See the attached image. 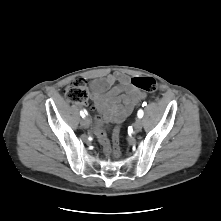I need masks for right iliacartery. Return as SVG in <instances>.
<instances>
[{
  "label": "right iliac artery",
  "instance_id": "1",
  "mask_svg": "<svg viewBox=\"0 0 221 221\" xmlns=\"http://www.w3.org/2000/svg\"><path fill=\"white\" fill-rule=\"evenodd\" d=\"M86 114H87V112L85 110L80 112V115L82 118H84L86 116Z\"/></svg>",
  "mask_w": 221,
  "mask_h": 221
}]
</instances>
